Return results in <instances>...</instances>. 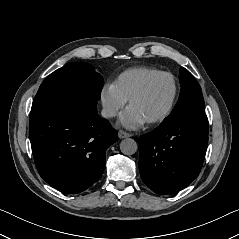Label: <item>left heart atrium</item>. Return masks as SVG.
Instances as JSON below:
<instances>
[{
  "label": "left heart atrium",
  "mask_w": 239,
  "mask_h": 239,
  "mask_svg": "<svg viewBox=\"0 0 239 239\" xmlns=\"http://www.w3.org/2000/svg\"><path fill=\"white\" fill-rule=\"evenodd\" d=\"M119 122L128 129H136L141 127L145 120L130 106L120 115Z\"/></svg>",
  "instance_id": "left-heart-atrium-1"
}]
</instances>
